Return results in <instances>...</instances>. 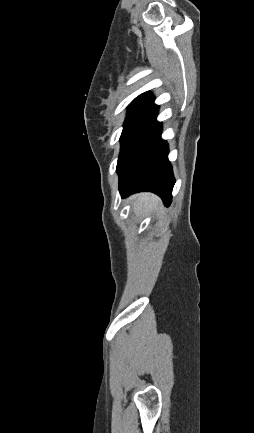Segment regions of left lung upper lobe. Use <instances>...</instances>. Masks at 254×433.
Returning <instances> with one entry per match:
<instances>
[{
    "label": "left lung upper lobe",
    "instance_id": "left-lung-upper-lobe-1",
    "mask_svg": "<svg viewBox=\"0 0 254 433\" xmlns=\"http://www.w3.org/2000/svg\"><path fill=\"white\" fill-rule=\"evenodd\" d=\"M151 93L145 92L135 98L128 106L127 118L124 123L121 140V152L118 158L117 169L139 130L153 117L158 111V106L154 103Z\"/></svg>",
    "mask_w": 254,
    "mask_h": 433
}]
</instances>
